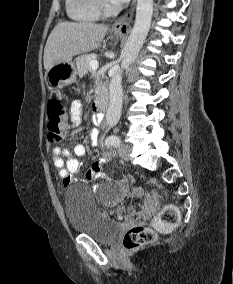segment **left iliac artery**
<instances>
[{"label":"left iliac artery","instance_id":"obj_1","mask_svg":"<svg viewBox=\"0 0 233 284\" xmlns=\"http://www.w3.org/2000/svg\"><path fill=\"white\" fill-rule=\"evenodd\" d=\"M107 146L117 147L120 145V139L117 136H109L105 140Z\"/></svg>","mask_w":233,"mask_h":284}]
</instances>
